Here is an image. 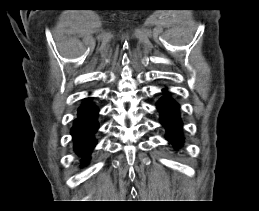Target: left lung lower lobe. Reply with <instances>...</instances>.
I'll return each mask as SVG.
<instances>
[{
	"instance_id": "1",
	"label": "left lung lower lobe",
	"mask_w": 259,
	"mask_h": 211,
	"mask_svg": "<svg viewBox=\"0 0 259 211\" xmlns=\"http://www.w3.org/2000/svg\"><path fill=\"white\" fill-rule=\"evenodd\" d=\"M164 96L157 103V108L161 114V124L166 128V139L174 147L181 146L184 142L182 138V121L179 116V105L170 97L166 89H163Z\"/></svg>"
}]
</instances>
